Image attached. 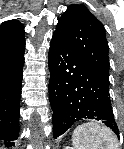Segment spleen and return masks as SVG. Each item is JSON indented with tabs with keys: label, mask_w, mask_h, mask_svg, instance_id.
<instances>
[{
	"label": "spleen",
	"mask_w": 124,
	"mask_h": 149,
	"mask_svg": "<svg viewBox=\"0 0 124 149\" xmlns=\"http://www.w3.org/2000/svg\"><path fill=\"white\" fill-rule=\"evenodd\" d=\"M93 124L86 123L74 130L72 142L75 149H118L110 130Z\"/></svg>",
	"instance_id": "obj_1"
}]
</instances>
